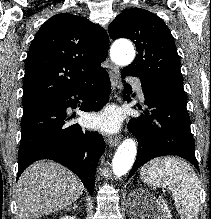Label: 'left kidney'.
Wrapping results in <instances>:
<instances>
[{
  "instance_id": "1",
  "label": "left kidney",
  "mask_w": 211,
  "mask_h": 219,
  "mask_svg": "<svg viewBox=\"0 0 211 219\" xmlns=\"http://www.w3.org/2000/svg\"><path fill=\"white\" fill-rule=\"evenodd\" d=\"M143 194H148L146 191L142 190ZM152 208L145 216L151 219H171L170 210L165 203V200L158 198L156 200L152 199Z\"/></svg>"
}]
</instances>
